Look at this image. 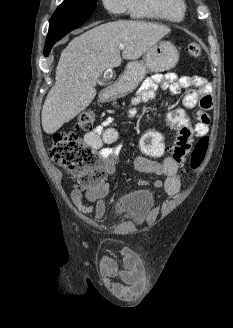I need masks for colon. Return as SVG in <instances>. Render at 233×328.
<instances>
[{"instance_id": "obj_1", "label": "colon", "mask_w": 233, "mask_h": 328, "mask_svg": "<svg viewBox=\"0 0 233 328\" xmlns=\"http://www.w3.org/2000/svg\"><path fill=\"white\" fill-rule=\"evenodd\" d=\"M187 52L191 57L198 58L201 56L202 49L199 44L191 43L188 45ZM95 116V112L91 109L80 112L75 118L76 127L81 130L91 129ZM166 123L175 134L173 144L167 146L159 132L148 130L140 140L142 153L149 157H160L167 153L179 167L189 162L192 169H198L208 150V138L200 137L192 146L193 125L182 109L170 110L166 115ZM49 155L54 163L75 175L82 186L93 187L104 180L105 171L97 153L75 132L54 133Z\"/></svg>"}]
</instances>
